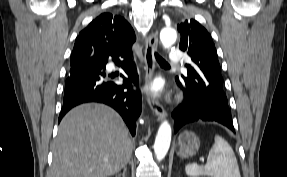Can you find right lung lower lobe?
<instances>
[{"instance_id": "98d812e1", "label": "right lung lower lobe", "mask_w": 287, "mask_h": 177, "mask_svg": "<svg viewBox=\"0 0 287 177\" xmlns=\"http://www.w3.org/2000/svg\"><path fill=\"white\" fill-rule=\"evenodd\" d=\"M128 78L119 85L110 80L111 76L104 71L106 64L113 61L120 64ZM132 50L122 47L103 51H94L92 56L71 66L65 82L63 107L59 115L62 117L73 107L87 103L99 102L114 108L127 124L131 134L136 132V120L141 114V96L139 91L132 89V83L138 85V74L135 64H131Z\"/></svg>"}]
</instances>
